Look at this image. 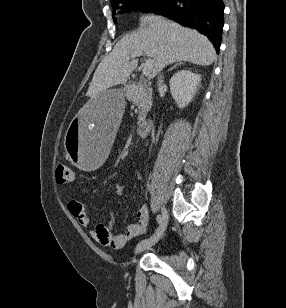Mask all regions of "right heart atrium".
<instances>
[{
  "mask_svg": "<svg viewBox=\"0 0 286 308\" xmlns=\"http://www.w3.org/2000/svg\"><path fill=\"white\" fill-rule=\"evenodd\" d=\"M145 9V5L143 3H138L136 5V13L141 14Z\"/></svg>",
  "mask_w": 286,
  "mask_h": 308,
  "instance_id": "d8ad5b80",
  "label": "right heart atrium"
}]
</instances>
